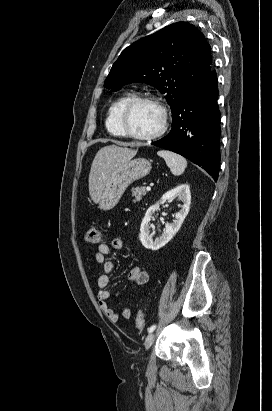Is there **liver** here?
<instances>
[{
  "instance_id": "1",
  "label": "liver",
  "mask_w": 272,
  "mask_h": 411,
  "mask_svg": "<svg viewBox=\"0 0 272 411\" xmlns=\"http://www.w3.org/2000/svg\"><path fill=\"white\" fill-rule=\"evenodd\" d=\"M135 154L134 149L116 145L105 146L97 152L89 174V194L95 203L99 202L104 184L114 169L133 158Z\"/></svg>"
}]
</instances>
